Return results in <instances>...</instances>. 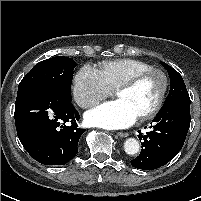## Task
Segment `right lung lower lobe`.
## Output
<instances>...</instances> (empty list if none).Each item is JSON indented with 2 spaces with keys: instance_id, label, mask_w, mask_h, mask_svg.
Returning <instances> with one entry per match:
<instances>
[{
  "instance_id": "98d812e1",
  "label": "right lung lower lobe",
  "mask_w": 201,
  "mask_h": 201,
  "mask_svg": "<svg viewBox=\"0 0 201 201\" xmlns=\"http://www.w3.org/2000/svg\"><path fill=\"white\" fill-rule=\"evenodd\" d=\"M15 124L20 142L32 158L45 165H64L78 153L84 129L71 100L55 88L32 84L18 90Z\"/></svg>"
}]
</instances>
